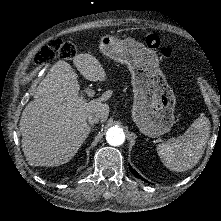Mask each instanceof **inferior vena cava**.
Wrapping results in <instances>:
<instances>
[{
    "label": "inferior vena cava",
    "mask_w": 221,
    "mask_h": 221,
    "mask_svg": "<svg viewBox=\"0 0 221 221\" xmlns=\"http://www.w3.org/2000/svg\"><path fill=\"white\" fill-rule=\"evenodd\" d=\"M101 120V114L100 113H90L87 116V122L89 125H93L98 123Z\"/></svg>",
    "instance_id": "602c4592"
}]
</instances>
